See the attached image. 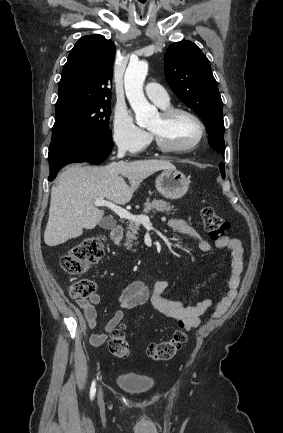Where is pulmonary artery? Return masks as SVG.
Masks as SVG:
<instances>
[{
  "label": "pulmonary artery",
  "mask_w": 283,
  "mask_h": 433,
  "mask_svg": "<svg viewBox=\"0 0 283 433\" xmlns=\"http://www.w3.org/2000/svg\"><path fill=\"white\" fill-rule=\"evenodd\" d=\"M161 86L155 82H148L145 85L146 95L158 106L164 107L170 103V97L164 89H159Z\"/></svg>",
  "instance_id": "pulmonary-artery-1"
}]
</instances>
